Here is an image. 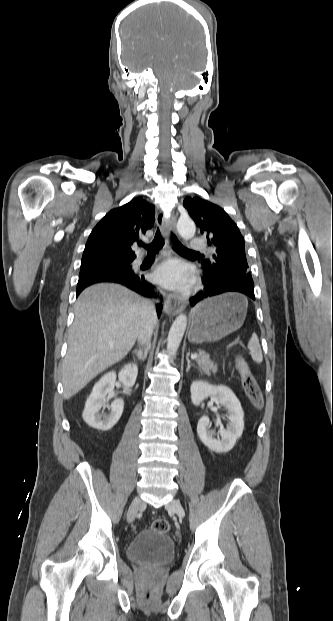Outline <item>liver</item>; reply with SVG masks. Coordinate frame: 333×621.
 Returning a JSON list of instances; mask_svg holds the SVG:
<instances>
[{
  "instance_id": "1",
  "label": "liver",
  "mask_w": 333,
  "mask_h": 621,
  "mask_svg": "<svg viewBox=\"0 0 333 621\" xmlns=\"http://www.w3.org/2000/svg\"><path fill=\"white\" fill-rule=\"evenodd\" d=\"M74 312L62 364L65 399L124 358L140 330L155 320L144 299L123 286L109 283L86 288L79 295Z\"/></svg>"
}]
</instances>
